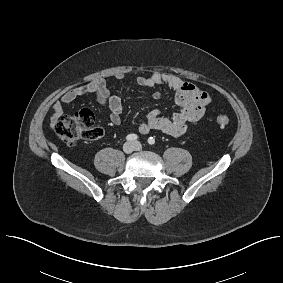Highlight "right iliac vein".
<instances>
[{"instance_id":"63e3f726","label":"right iliac vein","mask_w":283,"mask_h":283,"mask_svg":"<svg viewBox=\"0 0 283 283\" xmlns=\"http://www.w3.org/2000/svg\"><path fill=\"white\" fill-rule=\"evenodd\" d=\"M135 149V145L131 142H126L124 145H123V151L127 154L133 152Z\"/></svg>"}]
</instances>
